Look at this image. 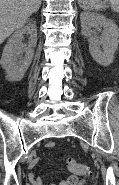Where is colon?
<instances>
[{"instance_id": "colon-1", "label": "colon", "mask_w": 119, "mask_h": 185, "mask_svg": "<svg viewBox=\"0 0 119 185\" xmlns=\"http://www.w3.org/2000/svg\"><path fill=\"white\" fill-rule=\"evenodd\" d=\"M65 163L69 171L75 174H78V175H88L89 174V168L85 164L77 161L74 158H71V157L65 158Z\"/></svg>"}]
</instances>
